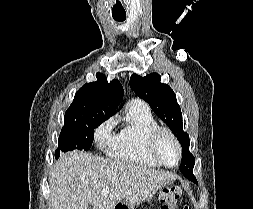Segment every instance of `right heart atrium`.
Returning a JSON list of instances; mask_svg holds the SVG:
<instances>
[{
    "mask_svg": "<svg viewBox=\"0 0 253 209\" xmlns=\"http://www.w3.org/2000/svg\"><path fill=\"white\" fill-rule=\"evenodd\" d=\"M113 138L112 121L110 119L101 122L94 130V142L97 147H109Z\"/></svg>",
    "mask_w": 253,
    "mask_h": 209,
    "instance_id": "d8ad5b80",
    "label": "right heart atrium"
}]
</instances>
